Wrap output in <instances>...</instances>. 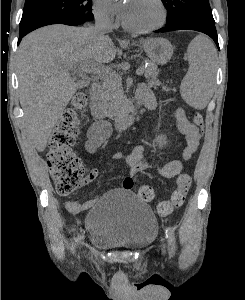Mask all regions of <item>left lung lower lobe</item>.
<instances>
[{
    "label": "left lung lower lobe",
    "instance_id": "obj_1",
    "mask_svg": "<svg viewBox=\"0 0 245 300\" xmlns=\"http://www.w3.org/2000/svg\"><path fill=\"white\" fill-rule=\"evenodd\" d=\"M182 29L195 30L209 35L219 48L215 22L195 17H183L172 24L165 25L164 28L156 30L155 32H168Z\"/></svg>",
    "mask_w": 245,
    "mask_h": 300
}]
</instances>
